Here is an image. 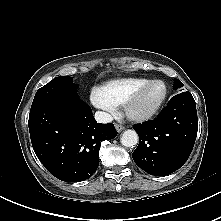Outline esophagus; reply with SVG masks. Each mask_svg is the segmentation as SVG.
I'll use <instances>...</instances> for the list:
<instances>
[{"label": "esophagus", "mask_w": 221, "mask_h": 221, "mask_svg": "<svg viewBox=\"0 0 221 221\" xmlns=\"http://www.w3.org/2000/svg\"><path fill=\"white\" fill-rule=\"evenodd\" d=\"M115 128H116V130H117L118 132H121V131H123V130L125 129L124 126L119 125V124H115Z\"/></svg>", "instance_id": "1"}]
</instances>
